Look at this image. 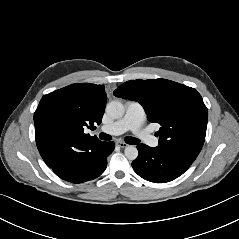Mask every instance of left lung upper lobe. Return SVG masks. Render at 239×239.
Here are the masks:
<instances>
[{
    "label": "left lung upper lobe",
    "instance_id": "1",
    "mask_svg": "<svg viewBox=\"0 0 239 239\" xmlns=\"http://www.w3.org/2000/svg\"><path fill=\"white\" fill-rule=\"evenodd\" d=\"M116 97L139 102L150 122L159 123L160 147L196 159L205 141L208 110L194 89L166 79L130 80L120 85Z\"/></svg>",
    "mask_w": 239,
    "mask_h": 239
}]
</instances>
